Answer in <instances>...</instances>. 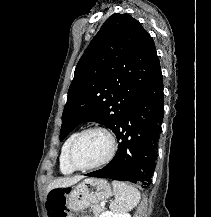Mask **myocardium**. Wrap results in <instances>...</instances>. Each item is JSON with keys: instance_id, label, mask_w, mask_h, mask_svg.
Instances as JSON below:
<instances>
[{"instance_id": "1", "label": "myocardium", "mask_w": 211, "mask_h": 217, "mask_svg": "<svg viewBox=\"0 0 211 217\" xmlns=\"http://www.w3.org/2000/svg\"><path fill=\"white\" fill-rule=\"evenodd\" d=\"M92 131L102 132L108 137V139L110 141L109 153L107 154V156L103 160H101L98 163L88 165V166H80V165L76 164V162L74 161L73 154H74L75 147H76L77 143L79 142V140L85 134L92 132ZM116 151H117V142H116L114 135L108 129H106L104 127L91 126V127L85 128L82 131L78 132L76 137L71 142L69 150H68V162H69L70 166L72 168H74L75 170H81V171L92 170V169H96V168H99V167H102V166L108 164L114 158Z\"/></svg>"}]
</instances>
